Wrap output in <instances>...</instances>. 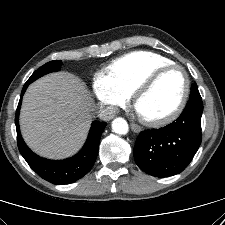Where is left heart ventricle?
<instances>
[{"instance_id":"obj_1","label":"left heart ventricle","mask_w":225,"mask_h":225,"mask_svg":"<svg viewBox=\"0 0 225 225\" xmlns=\"http://www.w3.org/2000/svg\"><path fill=\"white\" fill-rule=\"evenodd\" d=\"M183 88V73L180 70L167 72L140 98L136 112L145 118H159L168 114L178 104Z\"/></svg>"}]
</instances>
